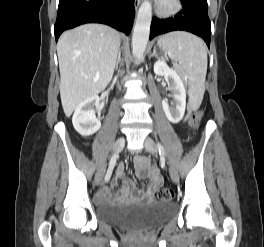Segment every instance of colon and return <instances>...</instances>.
Segmentation results:
<instances>
[{
  "label": "colon",
  "mask_w": 264,
  "mask_h": 247,
  "mask_svg": "<svg viewBox=\"0 0 264 247\" xmlns=\"http://www.w3.org/2000/svg\"><path fill=\"white\" fill-rule=\"evenodd\" d=\"M203 116V112L201 110H196L192 113L190 124L194 128H197ZM157 197L161 201H169L175 197V192L171 188H164L160 190L157 194Z\"/></svg>",
  "instance_id": "colon-1"
}]
</instances>
